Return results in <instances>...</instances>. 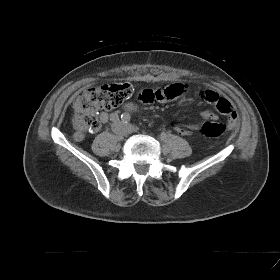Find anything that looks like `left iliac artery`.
Here are the masks:
<instances>
[{"label":"left iliac artery","instance_id":"1","mask_svg":"<svg viewBox=\"0 0 280 280\" xmlns=\"http://www.w3.org/2000/svg\"><path fill=\"white\" fill-rule=\"evenodd\" d=\"M130 118H131V116H130L129 113H123V114L121 115V119H122V121L125 122V123L129 122V121H130Z\"/></svg>","mask_w":280,"mask_h":280}]
</instances>
